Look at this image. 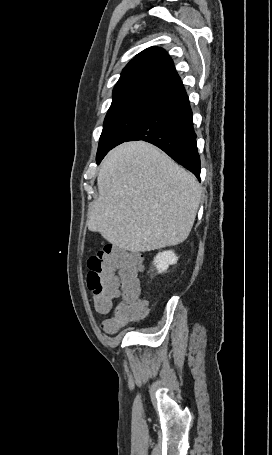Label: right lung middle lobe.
<instances>
[{
  "label": "right lung middle lobe",
  "instance_id": "right-lung-middle-lobe-1",
  "mask_svg": "<svg viewBox=\"0 0 272 455\" xmlns=\"http://www.w3.org/2000/svg\"><path fill=\"white\" fill-rule=\"evenodd\" d=\"M163 105L160 101L143 98L112 103L104 120L96 160L102 158L127 130Z\"/></svg>",
  "mask_w": 272,
  "mask_h": 455
}]
</instances>
